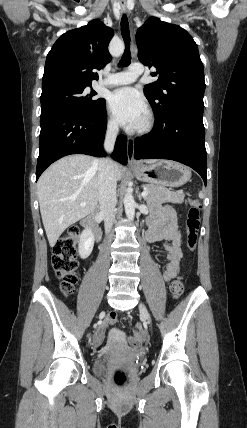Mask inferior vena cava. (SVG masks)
<instances>
[{"instance_id": "obj_1", "label": "inferior vena cava", "mask_w": 247, "mask_h": 428, "mask_svg": "<svg viewBox=\"0 0 247 428\" xmlns=\"http://www.w3.org/2000/svg\"><path fill=\"white\" fill-rule=\"evenodd\" d=\"M118 134V124L111 123L108 125L104 149L111 153L114 149V144ZM98 162V193L100 214L104 219L106 232H109L115 219L116 185L117 180L114 172V162L111 158H101Z\"/></svg>"}]
</instances>
